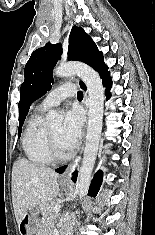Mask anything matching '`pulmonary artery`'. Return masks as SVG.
I'll return each instance as SVG.
<instances>
[{"instance_id": "obj_1", "label": "pulmonary artery", "mask_w": 155, "mask_h": 235, "mask_svg": "<svg viewBox=\"0 0 155 235\" xmlns=\"http://www.w3.org/2000/svg\"><path fill=\"white\" fill-rule=\"evenodd\" d=\"M75 93V85L73 84H63L58 86L46 95V97L40 103V108L42 110L53 108L59 105L66 98L74 96Z\"/></svg>"}]
</instances>
